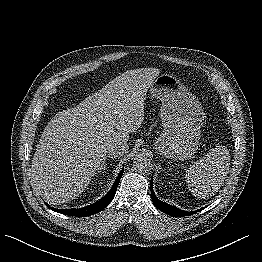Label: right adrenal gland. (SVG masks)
<instances>
[{"label": "right adrenal gland", "mask_w": 262, "mask_h": 262, "mask_svg": "<svg viewBox=\"0 0 262 262\" xmlns=\"http://www.w3.org/2000/svg\"><path fill=\"white\" fill-rule=\"evenodd\" d=\"M108 158H113V157H111V156H107V157H105V159H104V161L102 162V165H101V167H100V170L101 169H105V167H106V160H108Z\"/></svg>", "instance_id": "obj_1"}]
</instances>
